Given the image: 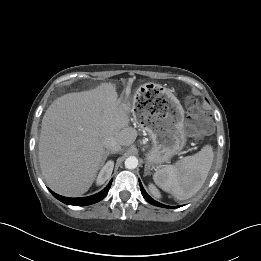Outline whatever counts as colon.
Wrapping results in <instances>:
<instances>
[{"label": "colon", "instance_id": "1", "mask_svg": "<svg viewBox=\"0 0 261 261\" xmlns=\"http://www.w3.org/2000/svg\"><path fill=\"white\" fill-rule=\"evenodd\" d=\"M186 130L193 137L202 136L208 133L211 128V122L206 113L201 109L200 102L191 96L186 97Z\"/></svg>", "mask_w": 261, "mask_h": 261}]
</instances>
